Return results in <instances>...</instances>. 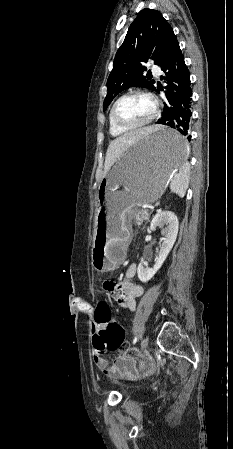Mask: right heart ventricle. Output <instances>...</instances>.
I'll return each mask as SVG.
<instances>
[{"mask_svg":"<svg viewBox=\"0 0 233 449\" xmlns=\"http://www.w3.org/2000/svg\"><path fill=\"white\" fill-rule=\"evenodd\" d=\"M109 132L113 137H119L126 134L128 131L118 129L110 120L109 116Z\"/></svg>","mask_w":233,"mask_h":449,"instance_id":"right-heart-ventricle-1","label":"right heart ventricle"}]
</instances>
